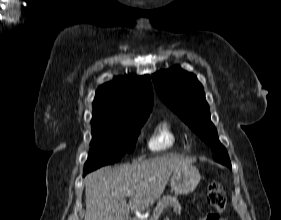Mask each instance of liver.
Masks as SVG:
<instances>
[{"mask_svg": "<svg viewBox=\"0 0 281 220\" xmlns=\"http://www.w3.org/2000/svg\"><path fill=\"white\" fill-rule=\"evenodd\" d=\"M192 163V159L171 154L88 174L84 220H131L130 210L140 212L151 206L162 195L171 174ZM128 190L133 193L127 195ZM126 197H130L129 203Z\"/></svg>", "mask_w": 281, "mask_h": 220, "instance_id": "obj_1", "label": "liver"}]
</instances>
